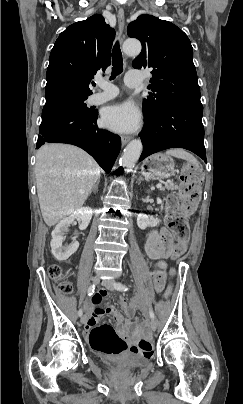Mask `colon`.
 <instances>
[{
  "mask_svg": "<svg viewBox=\"0 0 243 404\" xmlns=\"http://www.w3.org/2000/svg\"><path fill=\"white\" fill-rule=\"evenodd\" d=\"M181 187L179 193L170 195L166 202V224L173 236L171 253L177 257L185 252L189 240V226L185 215L196 208L201 194V174L199 168L187 163L183 166L181 176ZM48 275L59 281V289L67 294L71 291L70 283L64 278L63 269L56 264L49 266ZM153 286L156 291H161L166 282V274L161 268L152 273ZM119 305L128 314H132L134 306L126 299H120ZM89 343L93 350L107 354H119L127 345L110 324H102L94 327L89 333ZM137 348L145 355H151L153 343L143 338L139 341Z\"/></svg>",
  "mask_w": 243,
  "mask_h": 404,
  "instance_id": "obj_1",
  "label": "colon"
}]
</instances>
